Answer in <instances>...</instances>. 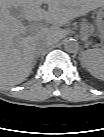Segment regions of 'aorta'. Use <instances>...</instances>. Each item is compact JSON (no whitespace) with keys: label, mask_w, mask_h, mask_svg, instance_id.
I'll use <instances>...</instances> for the list:
<instances>
[{"label":"aorta","mask_w":104,"mask_h":137,"mask_svg":"<svg viewBox=\"0 0 104 137\" xmlns=\"http://www.w3.org/2000/svg\"><path fill=\"white\" fill-rule=\"evenodd\" d=\"M63 47L67 52L73 53L78 50V43L73 39H67L63 42Z\"/></svg>","instance_id":"762f6f07"}]
</instances>
